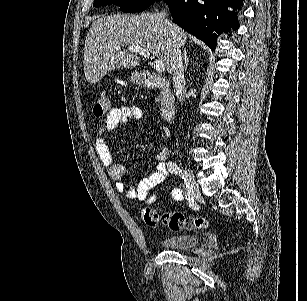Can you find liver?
<instances>
[{"instance_id": "obj_1", "label": "liver", "mask_w": 307, "mask_h": 301, "mask_svg": "<svg viewBox=\"0 0 307 301\" xmlns=\"http://www.w3.org/2000/svg\"><path fill=\"white\" fill-rule=\"evenodd\" d=\"M177 28V42L184 46L188 32ZM174 38L165 22L157 12L140 14H101L93 20L85 38L84 74L87 82H98L106 72L115 68H132L140 64L137 52H129L128 46H141L157 56L165 64L167 72H173L171 56ZM122 46L123 50H116Z\"/></svg>"}]
</instances>
